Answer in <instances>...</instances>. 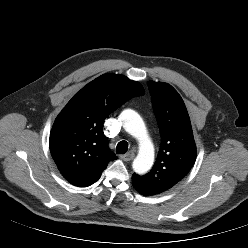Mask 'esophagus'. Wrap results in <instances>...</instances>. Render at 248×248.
Here are the masks:
<instances>
[{"label": "esophagus", "mask_w": 248, "mask_h": 248, "mask_svg": "<svg viewBox=\"0 0 248 248\" xmlns=\"http://www.w3.org/2000/svg\"><path fill=\"white\" fill-rule=\"evenodd\" d=\"M135 157V153L133 151L128 152L125 155L120 156V158L124 161H131Z\"/></svg>", "instance_id": "34e87169"}]
</instances>
